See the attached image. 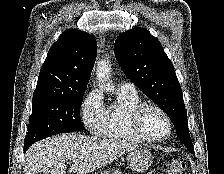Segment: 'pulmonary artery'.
<instances>
[{"label":"pulmonary artery","mask_w":224,"mask_h":174,"mask_svg":"<svg viewBox=\"0 0 224 174\" xmlns=\"http://www.w3.org/2000/svg\"><path fill=\"white\" fill-rule=\"evenodd\" d=\"M119 89L128 90V91H135V86L130 82H121L119 84Z\"/></svg>","instance_id":"e3ab8cb5"}]
</instances>
